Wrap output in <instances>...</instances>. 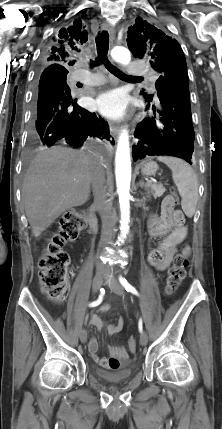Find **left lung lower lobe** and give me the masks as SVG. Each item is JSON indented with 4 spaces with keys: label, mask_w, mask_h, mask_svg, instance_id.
<instances>
[{
    "label": "left lung lower lobe",
    "mask_w": 222,
    "mask_h": 429,
    "mask_svg": "<svg viewBox=\"0 0 222 429\" xmlns=\"http://www.w3.org/2000/svg\"><path fill=\"white\" fill-rule=\"evenodd\" d=\"M153 115L140 122L134 132L138 139L132 147L133 160L145 156L167 155L182 158L192 164L194 128L192 123L189 85L169 79L157 90L155 103L145 98Z\"/></svg>",
    "instance_id": "1"
}]
</instances>
